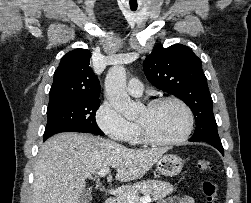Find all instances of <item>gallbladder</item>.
Returning a JSON list of instances; mask_svg holds the SVG:
<instances>
[{
  "mask_svg": "<svg viewBox=\"0 0 251 203\" xmlns=\"http://www.w3.org/2000/svg\"><path fill=\"white\" fill-rule=\"evenodd\" d=\"M92 200V193L90 189H85L79 198V203H89Z\"/></svg>",
  "mask_w": 251,
  "mask_h": 203,
  "instance_id": "bac80fb5",
  "label": "gallbladder"
}]
</instances>
